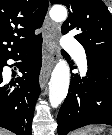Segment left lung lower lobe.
Segmentation results:
<instances>
[{
  "label": "left lung lower lobe",
  "instance_id": "left-lung-lower-lobe-1",
  "mask_svg": "<svg viewBox=\"0 0 112 135\" xmlns=\"http://www.w3.org/2000/svg\"><path fill=\"white\" fill-rule=\"evenodd\" d=\"M87 63L82 80L73 74L57 116L58 135L90 124L112 125V60L87 56Z\"/></svg>",
  "mask_w": 112,
  "mask_h": 135
}]
</instances>
